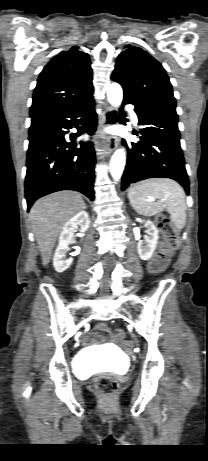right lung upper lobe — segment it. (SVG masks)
Wrapping results in <instances>:
<instances>
[{
  "instance_id": "obj_1",
  "label": "right lung upper lobe",
  "mask_w": 208,
  "mask_h": 461,
  "mask_svg": "<svg viewBox=\"0 0 208 461\" xmlns=\"http://www.w3.org/2000/svg\"><path fill=\"white\" fill-rule=\"evenodd\" d=\"M93 99L91 62L78 46L63 51L44 67L34 89L31 121L61 114Z\"/></svg>"
}]
</instances>
